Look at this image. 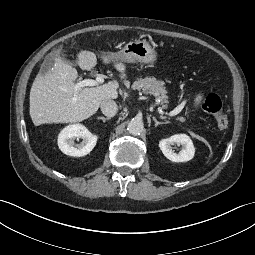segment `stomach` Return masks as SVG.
I'll return each mask as SVG.
<instances>
[{"mask_svg": "<svg viewBox=\"0 0 255 255\" xmlns=\"http://www.w3.org/2000/svg\"><path fill=\"white\" fill-rule=\"evenodd\" d=\"M112 56L114 60L127 63L141 62L153 64L157 59L154 48L146 40L140 39L130 41L124 48Z\"/></svg>", "mask_w": 255, "mask_h": 255, "instance_id": "stomach-1", "label": "stomach"}]
</instances>
